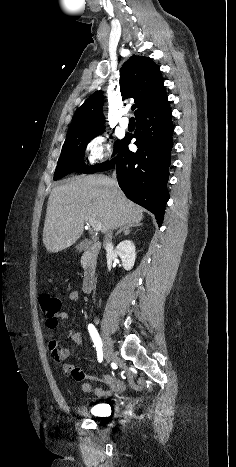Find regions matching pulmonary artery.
<instances>
[{"mask_svg": "<svg viewBox=\"0 0 236 467\" xmlns=\"http://www.w3.org/2000/svg\"><path fill=\"white\" fill-rule=\"evenodd\" d=\"M119 124L123 129H127L129 127V119L124 116L120 119Z\"/></svg>", "mask_w": 236, "mask_h": 467, "instance_id": "obj_1", "label": "pulmonary artery"}]
</instances>
